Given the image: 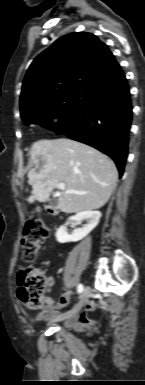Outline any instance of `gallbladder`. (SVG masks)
Returning <instances> with one entry per match:
<instances>
[{
  "mask_svg": "<svg viewBox=\"0 0 145 385\" xmlns=\"http://www.w3.org/2000/svg\"><path fill=\"white\" fill-rule=\"evenodd\" d=\"M57 204H58V200H57V199H52V200L49 202L50 207H56Z\"/></svg>",
  "mask_w": 145,
  "mask_h": 385,
  "instance_id": "1",
  "label": "gallbladder"
}]
</instances>
